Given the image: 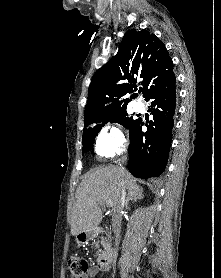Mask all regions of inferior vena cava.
<instances>
[{
	"label": "inferior vena cava",
	"instance_id": "602c4592",
	"mask_svg": "<svg viewBox=\"0 0 221 278\" xmlns=\"http://www.w3.org/2000/svg\"><path fill=\"white\" fill-rule=\"evenodd\" d=\"M127 160V157L124 156L122 158V163H125ZM120 167H122V164H120ZM125 205V188L124 186H120L118 192H117V198L115 201V204L113 206V215H112V228L113 232L116 235H119L121 230V213Z\"/></svg>",
	"mask_w": 221,
	"mask_h": 278
}]
</instances>
